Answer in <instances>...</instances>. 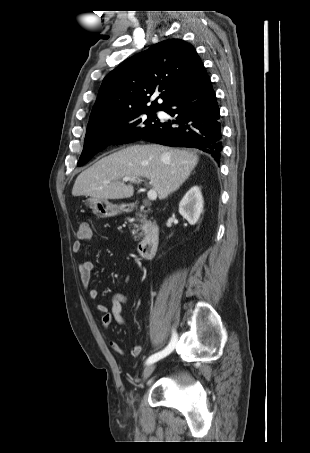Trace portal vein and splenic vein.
Wrapping results in <instances>:
<instances>
[{
	"mask_svg": "<svg viewBox=\"0 0 310 453\" xmlns=\"http://www.w3.org/2000/svg\"><path fill=\"white\" fill-rule=\"evenodd\" d=\"M137 182V183H140L141 180L140 179H137V178H131V177H124L123 178V182ZM105 183H110V181H106ZM147 196H148V199L150 201H154L156 200L157 198V192L155 190H150L148 193H147Z\"/></svg>",
	"mask_w": 310,
	"mask_h": 453,
	"instance_id": "18ae733b",
	"label": "portal vein and splenic vein"
}]
</instances>
